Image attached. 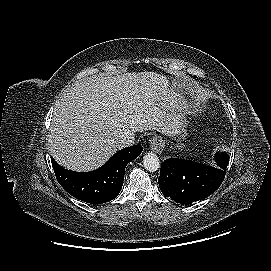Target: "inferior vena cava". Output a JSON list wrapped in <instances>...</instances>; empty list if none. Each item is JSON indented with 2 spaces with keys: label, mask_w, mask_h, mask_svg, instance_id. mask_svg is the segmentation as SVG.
Returning <instances> with one entry per match:
<instances>
[{
  "label": "inferior vena cava",
  "mask_w": 271,
  "mask_h": 271,
  "mask_svg": "<svg viewBox=\"0 0 271 271\" xmlns=\"http://www.w3.org/2000/svg\"><path fill=\"white\" fill-rule=\"evenodd\" d=\"M134 133L125 132L118 136L115 143L119 148H125L131 146L134 143Z\"/></svg>",
  "instance_id": "1"
}]
</instances>
